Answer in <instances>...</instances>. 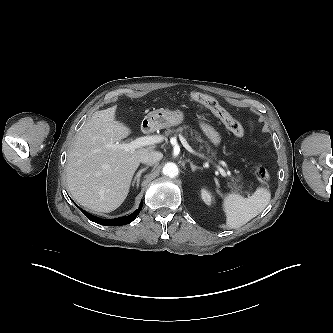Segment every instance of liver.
Masks as SVG:
<instances>
[{"instance_id":"obj_1","label":"liver","mask_w":333,"mask_h":333,"mask_svg":"<svg viewBox=\"0 0 333 333\" xmlns=\"http://www.w3.org/2000/svg\"><path fill=\"white\" fill-rule=\"evenodd\" d=\"M117 106L96 111L78 132L66 165V182L73 198L93 211L108 213L126 199L141 157L155 146L129 152L112 147L131 134L116 119Z\"/></svg>"}]
</instances>
